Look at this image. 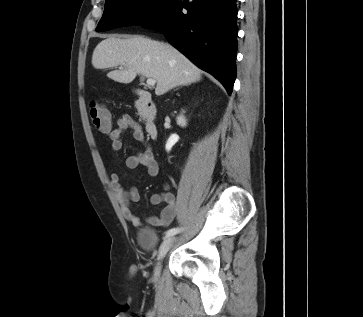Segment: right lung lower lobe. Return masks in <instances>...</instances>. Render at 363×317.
I'll use <instances>...</instances> for the list:
<instances>
[{
    "label": "right lung lower lobe",
    "mask_w": 363,
    "mask_h": 317,
    "mask_svg": "<svg viewBox=\"0 0 363 317\" xmlns=\"http://www.w3.org/2000/svg\"><path fill=\"white\" fill-rule=\"evenodd\" d=\"M237 13L236 0H193L187 5L175 0L162 16L142 27L164 32L174 47L218 79L230 95L236 78Z\"/></svg>",
    "instance_id": "1"
}]
</instances>
